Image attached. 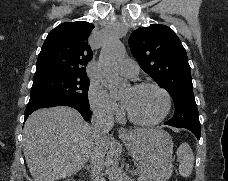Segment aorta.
<instances>
[{
	"instance_id": "obj_1",
	"label": "aorta",
	"mask_w": 228,
	"mask_h": 181,
	"mask_svg": "<svg viewBox=\"0 0 228 181\" xmlns=\"http://www.w3.org/2000/svg\"><path fill=\"white\" fill-rule=\"evenodd\" d=\"M125 56V47L117 37H110L104 44L100 56L99 67L102 71L105 86L112 96L120 95L128 86L117 72V65ZM109 181H122L121 170L112 165L108 171Z\"/></svg>"
}]
</instances>
